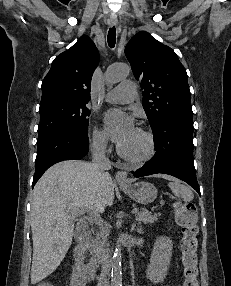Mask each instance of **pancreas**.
Returning a JSON list of instances; mask_svg holds the SVG:
<instances>
[{"label":"pancreas","mask_w":231,"mask_h":286,"mask_svg":"<svg viewBox=\"0 0 231 286\" xmlns=\"http://www.w3.org/2000/svg\"><path fill=\"white\" fill-rule=\"evenodd\" d=\"M160 214H152L147 209H143L136 215V220L141 223H153L158 220ZM110 231L108 227H102L100 231L96 234L95 239L92 240V244L90 246L91 253L93 254V259L91 260L92 263H99L101 260L106 258V253L108 252V243L107 237Z\"/></svg>","instance_id":"pancreas-1"}]
</instances>
